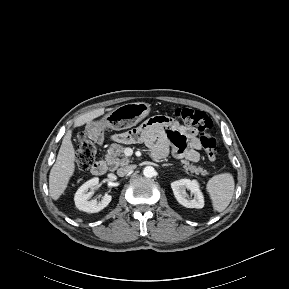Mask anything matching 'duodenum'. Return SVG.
I'll return each instance as SVG.
<instances>
[{
    "label": "duodenum",
    "mask_w": 289,
    "mask_h": 289,
    "mask_svg": "<svg viewBox=\"0 0 289 289\" xmlns=\"http://www.w3.org/2000/svg\"><path fill=\"white\" fill-rule=\"evenodd\" d=\"M107 170H108V165L103 160L94 162L91 167V172L94 175H103L107 172Z\"/></svg>",
    "instance_id": "410a0bca"
}]
</instances>
